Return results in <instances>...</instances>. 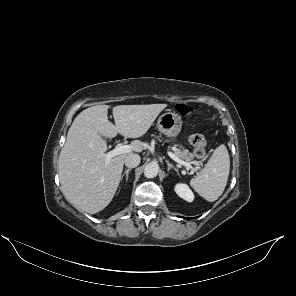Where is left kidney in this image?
<instances>
[{"label":"left kidney","instance_id":"5707ae66","mask_svg":"<svg viewBox=\"0 0 296 296\" xmlns=\"http://www.w3.org/2000/svg\"><path fill=\"white\" fill-rule=\"evenodd\" d=\"M174 190L179 197L183 198L187 202H192L194 200V194L188 185L182 183L176 184Z\"/></svg>","mask_w":296,"mask_h":296}]
</instances>
